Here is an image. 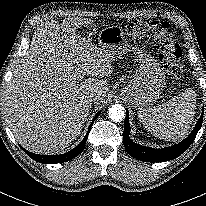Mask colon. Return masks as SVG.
Returning a JSON list of instances; mask_svg holds the SVG:
<instances>
[{
    "label": "colon",
    "mask_w": 206,
    "mask_h": 206,
    "mask_svg": "<svg viewBox=\"0 0 206 206\" xmlns=\"http://www.w3.org/2000/svg\"><path fill=\"white\" fill-rule=\"evenodd\" d=\"M133 37L148 36L155 41L158 58L164 68L174 78L184 72L182 53L175 43L172 31L164 20H135L129 27Z\"/></svg>",
    "instance_id": "1"
}]
</instances>
